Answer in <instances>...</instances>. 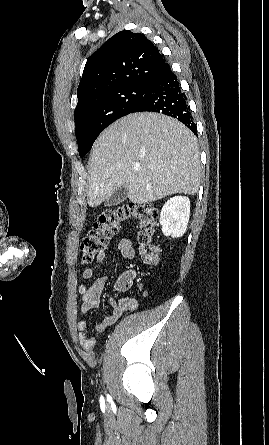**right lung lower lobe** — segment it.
<instances>
[{"instance_id":"obj_1","label":"right lung lower lobe","mask_w":269,"mask_h":445,"mask_svg":"<svg viewBox=\"0 0 269 445\" xmlns=\"http://www.w3.org/2000/svg\"><path fill=\"white\" fill-rule=\"evenodd\" d=\"M148 86V93L132 113L143 111L163 113L178 119L194 134H197L187 98L169 65L160 71Z\"/></svg>"}]
</instances>
